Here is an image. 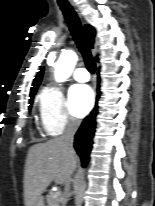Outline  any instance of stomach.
I'll use <instances>...</instances> for the list:
<instances>
[{
    "instance_id": "0dacf381",
    "label": "stomach",
    "mask_w": 155,
    "mask_h": 206,
    "mask_svg": "<svg viewBox=\"0 0 155 206\" xmlns=\"http://www.w3.org/2000/svg\"><path fill=\"white\" fill-rule=\"evenodd\" d=\"M34 206H44V200H43V197H39L37 199V201L35 202Z\"/></svg>"
}]
</instances>
